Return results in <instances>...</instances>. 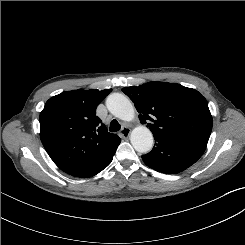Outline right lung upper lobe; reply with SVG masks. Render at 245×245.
I'll return each mask as SVG.
<instances>
[{
    "label": "right lung upper lobe",
    "instance_id": "obj_1",
    "mask_svg": "<svg viewBox=\"0 0 245 245\" xmlns=\"http://www.w3.org/2000/svg\"><path fill=\"white\" fill-rule=\"evenodd\" d=\"M111 91H66L46 102L40 113V138L65 173L87 178L111 162L121 139L108 133L96 116V107Z\"/></svg>",
    "mask_w": 245,
    "mask_h": 245
}]
</instances>
